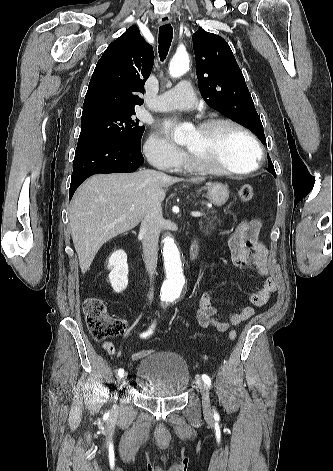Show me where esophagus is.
<instances>
[{"label":"esophagus","instance_id":"obj_1","mask_svg":"<svg viewBox=\"0 0 333 471\" xmlns=\"http://www.w3.org/2000/svg\"><path fill=\"white\" fill-rule=\"evenodd\" d=\"M171 22V18L167 15H162L160 18H159V23L161 25H165V24H169Z\"/></svg>","mask_w":333,"mask_h":471}]
</instances>
